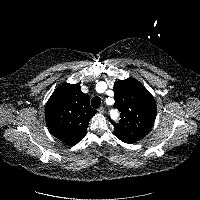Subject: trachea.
<instances>
[{
  "label": "trachea",
  "mask_w": 200,
  "mask_h": 200,
  "mask_svg": "<svg viewBox=\"0 0 200 200\" xmlns=\"http://www.w3.org/2000/svg\"><path fill=\"white\" fill-rule=\"evenodd\" d=\"M101 104V98L98 96H95L91 100V105L93 108L97 109Z\"/></svg>",
  "instance_id": "3493384b"
}]
</instances>
